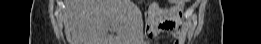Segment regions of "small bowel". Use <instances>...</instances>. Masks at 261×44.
Here are the masks:
<instances>
[{
	"label": "small bowel",
	"instance_id": "1",
	"mask_svg": "<svg viewBox=\"0 0 261 44\" xmlns=\"http://www.w3.org/2000/svg\"><path fill=\"white\" fill-rule=\"evenodd\" d=\"M184 5L173 4L171 7H164L157 2H153L149 7L148 36L154 37L160 32L168 33L174 38V43L179 44L185 38L187 29L186 21L183 17ZM162 16H165L162 19Z\"/></svg>",
	"mask_w": 261,
	"mask_h": 44
}]
</instances>
